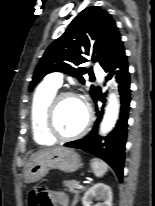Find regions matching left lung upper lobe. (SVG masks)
I'll list each match as a JSON object with an SVG mask.
<instances>
[{"label": "left lung upper lobe", "instance_id": "1", "mask_svg": "<svg viewBox=\"0 0 155 206\" xmlns=\"http://www.w3.org/2000/svg\"><path fill=\"white\" fill-rule=\"evenodd\" d=\"M121 48V35L111 15L99 7H87L46 50L35 69L29 91L51 72L67 73L84 83L81 75L86 73V68L81 65L88 61L86 56L90 55L93 62H99L105 69ZM90 93L92 97L96 93L93 86Z\"/></svg>", "mask_w": 155, "mask_h": 206}]
</instances>
